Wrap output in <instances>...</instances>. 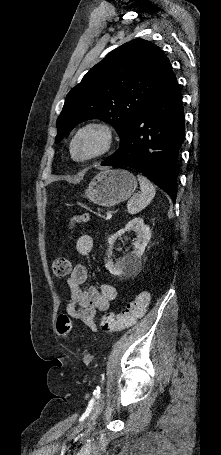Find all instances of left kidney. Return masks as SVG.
Segmentation results:
<instances>
[{"label": "left kidney", "mask_w": 221, "mask_h": 455, "mask_svg": "<svg viewBox=\"0 0 221 455\" xmlns=\"http://www.w3.org/2000/svg\"><path fill=\"white\" fill-rule=\"evenodd\" d=\"M135 231L137 234V238L134 242V250L118 260L115 264L111 260L112 256V247L116 240L121 237L127 231ZM151 237V232L149 227L144 224V220L142 218H134L125 226V228L120 229L115 234H113L109 239V248L107 251L108 261L105 264L107 270L113 275H122L125 273H129L136 269L141 260V256L147 246Z\"/></svg>", "instance_id": "5707ae66"}]
</instances>
